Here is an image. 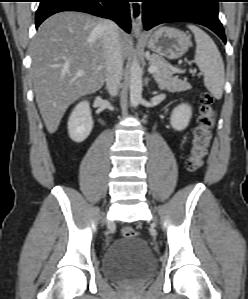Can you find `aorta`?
Segmentation results:
<instances>
[{
    "label": "aorta",
    "instance_id": "obj_1",
    "mask_svg": "<svg viewBox=\"0 0 248 299\" xmlns=\"http://www.w3.org/2000/svg\"><path fill=\"white\" fill-rule=\"evenodd\" d=\"M129 89L130 102L133 107H137L142 100V69L136 57L130 66Z\"/></svg>",
    "mask_w": 248,
    "mask_h": 299
}]
</instances>
